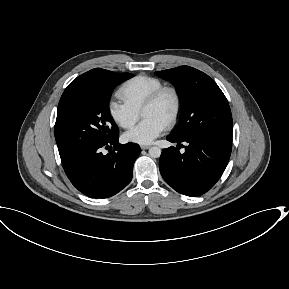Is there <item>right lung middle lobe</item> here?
<instances>
[{
  "instance_id": "obj_1",
  "label": "right lung middle lobe",
  "mask_w": 289,
  "mask_h": 289,
  "mask_svg": "<svg viewBox=\"0 0 289 289\" xmlns=\"http://www.w3.org/2000/svg\"><path fill=\"white\" fill-rule=\"evenodd\" d=\"M130 73H113L96 85L67 87L59 101L54 127L61 160L104 143L118 134L108 110L112 89Z\"/></svg>"
}]
</instances>
